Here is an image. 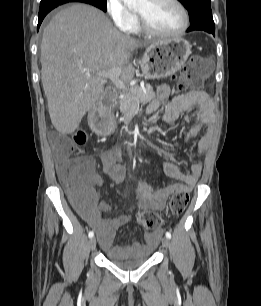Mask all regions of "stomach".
<instances>
[{"instance_id":"obj_1","label":"stomach","mask_w":261,"mask_h":306,"mask_svg":"<svg viewBox=\"0 0 261 306\" xmlns=\"http://www.w3.org/2000/svg\"><path fill=\"white\" fill-rule=\"evenodd\" d=\"M191 54V45L180 37L153 42L145 51L140 66L147 79L168 77L182 68ZM91 129L98 135H108L115 128L111 116L91 112L88 117Z\"/></svg>"}]
</instances>
